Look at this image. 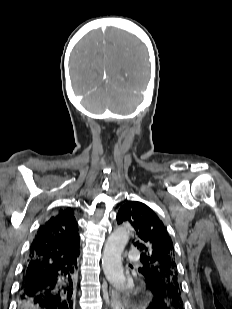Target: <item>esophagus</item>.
<instances>
[{
  "label": "esophagus",
  "instance_id": "34e87169",
  "mask_svg": "<svg viewBox=\"0 0 232 309\" xmlns=\"http://www.w3.org/2000/svg\"><path fill=\"white\" fill-rule=\"evenodd\" d=\"M106 300L109 302L112 309H123L120 297L115 290L110 289L109 296L106 298Z\"/></svg>",
  "mask_w": 232,
  "mask_h": 309
}]
</instances>
